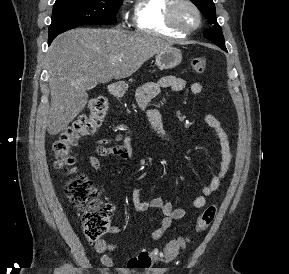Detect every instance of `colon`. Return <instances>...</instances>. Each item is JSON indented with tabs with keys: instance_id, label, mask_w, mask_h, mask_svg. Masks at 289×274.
Wrapping results in <instances>:
<instances>
[{
	"instance_id": "colon-1",
	"label": "colon",
	"mask_w": 289,
	"mask_h": 274,
	"mask_svg": "<svg viewBox=\"0 0 289 274\" xmlns=\"http://www.w3.org/2000/svg\"><path fill=\"white\" fill-rule=\"evenodd\" d=\"M205 57L191 59V67L197 74L206 70ZM108 110V103L104 97H95L90 100L88 113L79 116L69 127L63 131L53 145L55 153V166L60 170L73 174L75 171V158L71 155V149L77 142L91 135L101 125ZM65 193L70 203L76 207L82 215L83 230L90 241H98L111 231V215L113 206L103 202L99 198V191L84 175H73L65 185ZM217 214V205H208L197 218L194 232L200 233L206 230L214 221ZM192 240L191 235L178 237L166 244L163 251H141L137 256L128 261V268L148 269L157 262H170Z\"/></svg>"
}]
</instances>
